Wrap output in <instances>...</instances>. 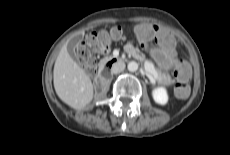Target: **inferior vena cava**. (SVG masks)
<instances>
[{"label":"inferior vena cava","instance_id":"inferior-vena-cava-1","mask_svg":"<svg viewBox=\"0 0 230 155\" xmlns=\"http://www.w3.org/2000/svg\"><path fill=\"white\" fill-rule=\"evenodd\" d=\"M125 69V63L123 61H118L115 64H113L111 68V73L116 74L120 73Z\"/></svg>","mask_w":230,"mask_h":155}]
</instances>
